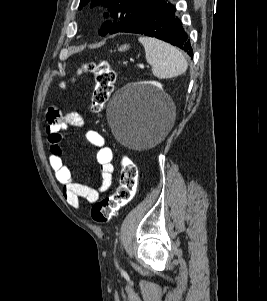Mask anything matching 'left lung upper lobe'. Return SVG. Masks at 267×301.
Returning a JSON list of instances; mask_svg holds the SVG:
<instances>
[{"label":"left lung upper lobe","mask_w":267,"mask_h":301,"mask_svg":"<svg viewBox=\"0 0 267 301\" xmlns=\"http://www.w3.org/2000/svg\"><path fill=\"white\" fill-rule=\"evenodd\" d=\"M161 0H81L79 9L91 3V8L103 6L108 8L110 14L105 13V17L110 16L111 20L106 21L101 29L100 34L106 35L117 33L122 27L135 21L152 6Z\"/></svg>","instance_id":"1"}]
</instances>
